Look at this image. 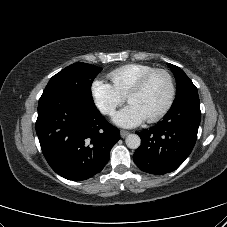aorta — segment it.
<instances>
[{"instance_id": "aorta-1", "label": "aorta", "mask_w": 227, "mask_h": 227, "mask_svg": "<svg viewBox=\"0 0 227 227\" xmlns=\"http://www.w3.org/2000/svg\"><path fill=\"white\" fill-rule=\"evenodd\" d=\"M126 145L128 148L130 149H137L139 148L140 144H141V139L137 134H129L126 137Z\"/></svg>"}]
</instances>
